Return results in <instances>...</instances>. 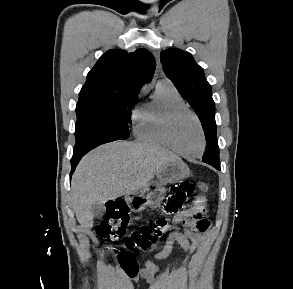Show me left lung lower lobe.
<instances>
[{
  "mask_svg": "<svg viewBox=\"0 0 293 289\" xmlns=\"http://www.w3.org/2000/svg\"><path fill=\"white\" fill-rule=\"evenodd\" d=\"M216 145V142L214 139H210L207 141L206 150H209L210 148L214 147ZM217 170H220V165H211Z\"/></svg>",
  "mask_w": 293,
  "mask_h": 289,
  "instance_id": "0a47b994",
  "label": "left lung lower lobe"
}]
</instances>
